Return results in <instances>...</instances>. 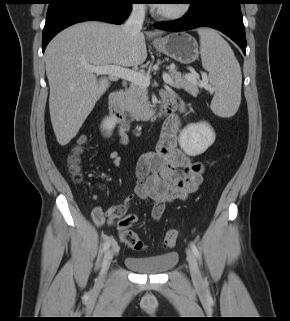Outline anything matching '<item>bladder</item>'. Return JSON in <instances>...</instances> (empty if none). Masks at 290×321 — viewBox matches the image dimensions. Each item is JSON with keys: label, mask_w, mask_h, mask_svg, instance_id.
Listing matches in <instances>:
<instances>
[{"label": "bladder", "mask_w": 290, "mask_h": 321, "mask_svg": "<svg viewBox=\"0 0 290 321\" xmlns=\"http://www.w3.org/2000/svg\"><path fill=\"white\" fill-rule=\"evenodd\" d=\"M177 252H170L149 257L127 256L124 263L135 272L142 274H161L175 266Z\"/></svg>", "instance_id": "1"}]
</instances>
